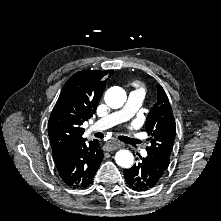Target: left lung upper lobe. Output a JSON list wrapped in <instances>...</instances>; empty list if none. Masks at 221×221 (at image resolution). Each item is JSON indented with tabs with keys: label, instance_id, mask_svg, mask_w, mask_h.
<instances>
[{
	"label": "left lung upper lobe",
	"instance_id": "5c2ea615",
	"mask_svg": "<svg viewBox=\"0 0 221 221\" xmlns=\"http://www.w3.org/2000/svg\"><path fill=\"white\" fill-rule=\"evenodd\" d=\"M151 145L146 148L151 154L169 163L173 149L176 126L169 99L162 86H158L157 102L152 107L145 122Z\"/></svg>",
	"mask_w": 221,
	"mask_h": 221
}]
</instances>
